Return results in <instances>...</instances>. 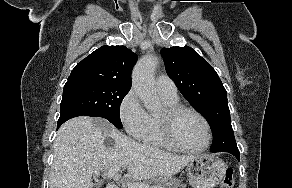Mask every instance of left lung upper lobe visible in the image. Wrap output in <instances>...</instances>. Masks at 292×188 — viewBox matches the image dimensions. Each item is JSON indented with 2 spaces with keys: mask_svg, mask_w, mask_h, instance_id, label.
<instances>
[{
  "mask_svg": "<svg viewBox=\"0 0 292 188\" xmlns=\"http://www.w3.org/2000/svg\"><path fill=\"white\" fill-rule=\"evenodd\" d=\"M161 53L168 76L208 121L213 134L211 151L237 147L227 93L216 71L189 46L163 48Z\"/></svg>",
  "mask_w": 292,
  "mask_h": 188,
  "instance_id": "obj_1",
  "label": "left lung upper lobe"
}]
</instances>
